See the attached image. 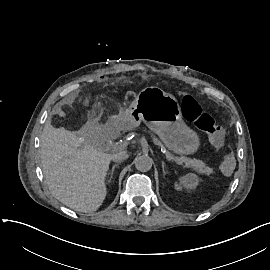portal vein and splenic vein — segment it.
<instances>
[{
	"mask_svg": "<svg viewBox=\"0 0 270 270\" xmlns=\"http://www.w3.org/2000/svg\"><path fill=\"white\" fill-rule=\"evenodd\" d=\"M119 151H120V146H119V145L113 146V147L110 149V152H111L112 154L118 153ZM175 163H177L178 165H181V166H185V163L180 162V161H177V162H175Z\"/></svg>",
	"mask_w": 270,
	"mask_h": 270,
	"instance_id": "1",
	"label": "portal vein and splenic vein"
}]
</instances>
